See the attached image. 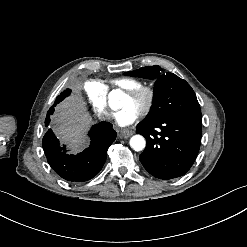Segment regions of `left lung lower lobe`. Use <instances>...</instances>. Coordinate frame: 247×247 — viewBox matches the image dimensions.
Instances as JSON below:
<instances>
[{"instance_id": "1", "label": "left lung lower lobe", "mask_w": 247, "mask_h": 247, "mask_svg": "<svg viewBox=\"0 0 247 247\" xmlns=\"http://www.w3.org/2000/svg\"><path fill=\"white\" fill-rule=\"evenodd\" d=\"M136 129L146 138L147 145L139 159L151 175L172 179L191 168L201 143L200 120L172 116L150 125L139 123Z\"/></svg>"}]
</instances>
